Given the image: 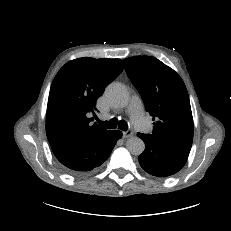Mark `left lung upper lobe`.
Returning <instances> with one entry per match:
<instances>
[{
	"mask_svg": "<svg viewBox=\"0 0 231 231\" xmlns=\"http://www.w3.org/2000/svg\"><path fill=\"white\" fill-rule=\"evenodd\" d=\"M128 77L140 93L146 111L153 116V132L159 141L192 146L193 117L186 86L169 66L151 56L124 59Z\"/></svg>",
	"mask_w": 231,
	"mask_h": 231,
	"instance_id": "left-lung-upper-lobe-1",
	"label": "left lung upper lobe"
}]
</instances>
